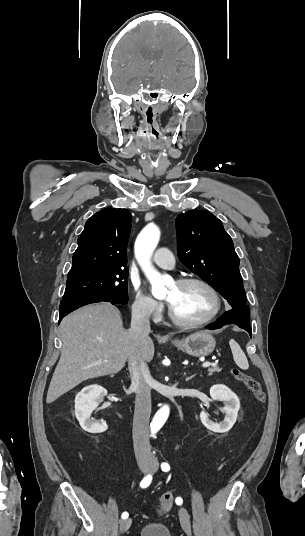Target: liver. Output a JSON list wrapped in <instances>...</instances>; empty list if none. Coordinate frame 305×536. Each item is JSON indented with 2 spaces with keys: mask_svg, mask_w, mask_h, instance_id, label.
I'll return each mask as SVG.
<instances>
[{
  "mask_svg": "<svg viewBox=\"0 0 305 536\" xmlns=\"http://www.w3.org/2000/svg\"><path fill=\"white\" fill-rule=\"evenodd\" d=\"M60 332L61 356L48 388L46 404L55 402L84 380L117 374L129 356H135L137 362L153 360L155 350L151 338L135 342L130 332L123 330L119 310L108 302L90 304L66 316L60 324Z\"/></svg>",
  "mask_w": 305,
  "mask_h": 536,
  "instance_id": "6515ba94",
  "label": "liver"
}]
</instances>
